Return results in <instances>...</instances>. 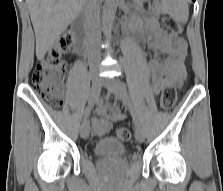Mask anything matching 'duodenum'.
<instances>
[{"mask_svg": "<svg viewBox=\"0 0 223 191\" xmlns=\"http://www.w3.org/2000/svg\"><path fill=\"white\" fill-rule=\"evenodd\" d=\"M72 32L77 37L78 49L81 50V48H82V41H83V39L86 36V29L84 28L83 23L81 22L80 19H76L73 22Z\"/></svg>", "mask_w": 223, "mask_h": 191, "instance_id": "duodenum-1", "label": "duodenum"}]
</instances>
